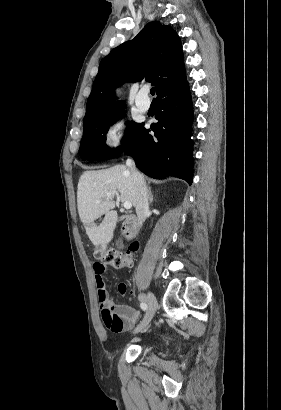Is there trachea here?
I'll use <instances>...</instances> for the list:
<instances>
[{
    "instance_id": "trachea-1",
    "label": "trachea",
    "mask_w": 281,
    "mask_h": 410,
    "mask_svg": "<svg viewBox=\"0 0 281 410\" xmlns=\"http://www.w3.org/2000/svg\"><path fill=\"white\" fill-rule=\"evenodd\" d=\"M150 93L153 96L155 94V88H151Z\"/></svg>"
}]
</instances>
